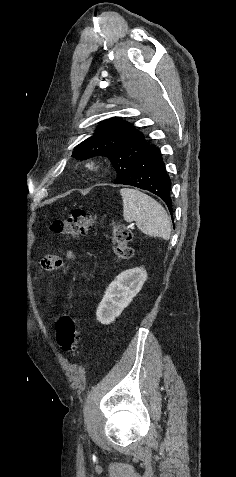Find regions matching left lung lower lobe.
Returning <instances> with one entry per match:
<instances>
[{"label":"left lung lower lobe","mask_w":236,"mask_h":477,"mask_svg":"<svg viewBox=\"0 0 236 477\" xmlns=\"http://www.w3.org/2000/svg\"><path fill=\"white\" fill-rule=\"evenodd\" d=\"M150 191L160 197L172 215L171 181L158 147L150 145L133 162L128 176L120 183Z\"/></svg>","instance_id":"obj_1"}]
</instances>
